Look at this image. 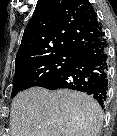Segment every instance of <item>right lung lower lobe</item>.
<instances>
[{"label":"right lung lower lobe","mask_w":117,"mask_h":136,"mask_svg":"<svg viewBox=\"0 0 117 136\" xmlns=\"http://www.w3.org/2000/svg\"><path fill=\"white\" fill-rule=\"evenodd\" d=\"M103 30L58 73L39 84L50 90L67 88L92 95L103 106L108 97L109 58Z\"/></svg>","instance_id":"obj_1"}]
</instances>
